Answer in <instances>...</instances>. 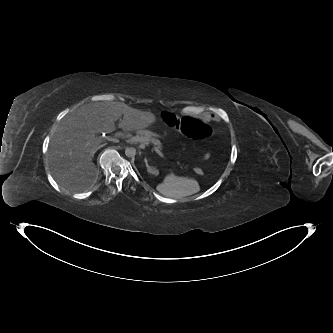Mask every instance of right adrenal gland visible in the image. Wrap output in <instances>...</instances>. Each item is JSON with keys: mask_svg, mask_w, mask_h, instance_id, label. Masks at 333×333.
<instances>
[{"mask_svg": "<svg viewBox=\"0 0 333 333\" xmlns=\"http://www.w3.org/2000/svg\"><path fill=\"white\" fill-rule=\"evenodd\" d=\"M107 143L103 144L101 147L105 146Z\"/></svg>", "mask_w": 333, "mask_h": 333, "instance_id": "2a0ac1e0", "label": "right adrenal gland"}]
</instances>
